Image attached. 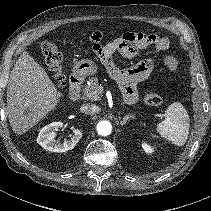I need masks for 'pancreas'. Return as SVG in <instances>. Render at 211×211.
<instances>
[{
    "label": "pancreas",
    "instance_id": "1",
    "mask_svg": "<svg viewBox=\"0 0 211 211\" xmlns=\"http://www.w3.org/2000/svg\"><path fill=\"white\" fill-rule=\"evenodd\" d=\"M103 93V87L99 85L98 79L92 77L88 81V85L83 90L84 98L90 101L100 100Z\"/></svg>",
    "mask_w": 211,
    "mask_h": 211
}]
</instances>
